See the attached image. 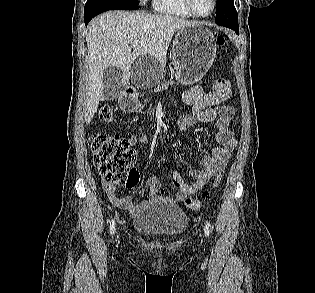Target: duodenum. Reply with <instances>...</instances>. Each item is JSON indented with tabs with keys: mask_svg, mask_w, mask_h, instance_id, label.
Returning <instances> with one entry per match:
<instances>
[{
	"mask_svg": "<svg viewBox=\"0 0 315 293\" xmlns=\"http://www.w3.org/2000/svg\"><path fill=\"white\" fill-rule=\"evenodd\" d=\"M125 92H134V89L129 88V89H127Z\"/></svg>",
	"mask_w": 315,
	"mask_h": 293,
	"instance_id": "obj_1",
	"label": "duodenum"
}]
</instances>
